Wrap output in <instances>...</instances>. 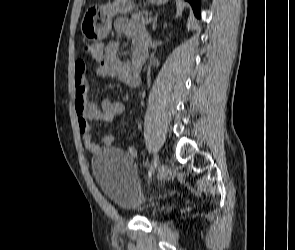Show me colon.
<instances>
[{
  "label": "colon",
  "instance_id": "1",
  "mask_svg": "<svg viewBox=\"0 0 295 250\" xmlns=\"http://www.w3.org/2000/svg\"><path fill=\"white\" fill-rule=\"evenodd\" d=\"M98 45L96 44H87L84 46V53L86 55H92L93 51L97 48Z\"/></svg>",
  "mask_w": 295,
  "mask_h": 250
}]
</instances>
